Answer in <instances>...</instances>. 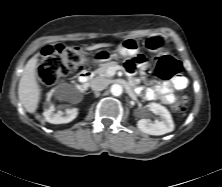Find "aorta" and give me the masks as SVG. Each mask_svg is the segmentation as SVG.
I'll list each match as a JSON object with an SVG mask.
<instances>
[{"label":"aorta","instance_id":"obj_1","mask_svg":"<svg viewBox=\"0 0 222 187\" xmlns=\"http://www.w3.org/2000/svg\"><path fill=\"white\" fill-rule=\"evenodd\" d=\"M110 92L114 96H120L123 92V88L119 84H113L110 88Z\"/></svg>","mask_w":222,"mask_h":187}]
</instances>
